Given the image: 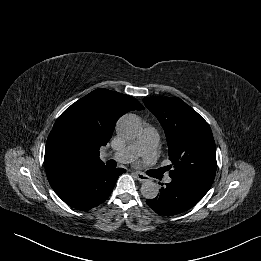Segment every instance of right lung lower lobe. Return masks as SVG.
<instances>
[{"instance_id":"right-lung-lower-lobe-1","label":"right lung lower lobe","mask_w":261,"mask_h":261,"mask_svg":"<svg viewBox=\"0 0 261 261\" xmlns=\"http://www.w3.org/2000/svg\"><path fill=\"white\" fill-rule=\"evenodd\" d=\"M124 172L125 169L107 168L102 164L51 186L66 204L81 211H88L109 197L118 177Z\"/></svg>"}]
</instances>
